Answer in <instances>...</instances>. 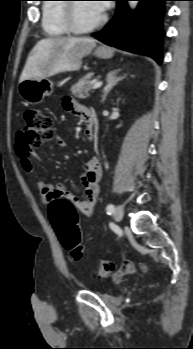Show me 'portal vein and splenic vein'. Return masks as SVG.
I'll use <instances>...</instances> for the list:
<instances>
[{
	"mask_svg": "<svg viewBox=\"0 0 193 349\" xmlns=\"http://www.w3.org/2000/svg\"><path fill=\"white\" fill-rule=\"evenodd\" d=\"M101 86H102V82H101V81H98V82L94 83L92 89H97V88H99V87H101Z\"/></svg>",
	"mask_w": 193,
	"mask_h": 349,
	"instance_id": "portal-vein-and-splenic-vein-1",
	"label": "portal vein and splenic vein"
}]
</instances>
